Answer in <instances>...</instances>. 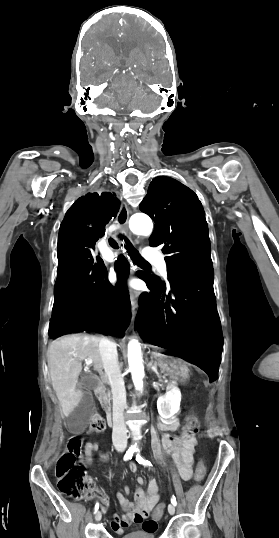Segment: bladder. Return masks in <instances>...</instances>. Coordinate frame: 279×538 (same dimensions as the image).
I'll return each instance as SVG.
<instances>
[{"label":"bladder","instance_id":"31cf9c89","mask_svg":"<svg viewBox=\"0 0 279 538\" xmlns=\"http://www.w3.org/2000/svg\"><path fill=\"white\" fill-rule=\"evenodd\" d=\"M123 538H155L154 532H124Z\"/></svg>","mask_w":279,"mask_h":538}]
</instances>
